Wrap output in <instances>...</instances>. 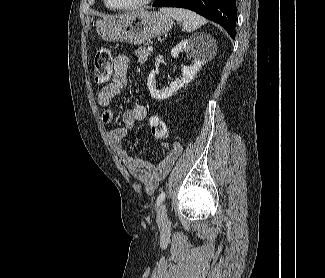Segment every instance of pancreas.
Returning <instances> with one entry per match:
<instances>
[{"label":"pancreas","mask_w":325,"mask_h":278,"mask_svg":"<svg viewBox=\"0 0 325 278\" xmlns=\"http://www.w3.org/2000/svg\"><path fill=\"white\" fill-rule=\"evenodd\" d=\"M135 54L138 57V62L140 64H144L147 61L148 56H150V51H148V49L145 46H143V47L138 48L135 51Z\"/></svg>","instance_id":"obj_1"}]
</instances>
